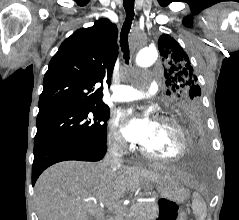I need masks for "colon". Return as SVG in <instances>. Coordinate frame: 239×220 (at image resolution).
<instances>
[{"instance_id": "colon-1", "label": "colon", "mask_w": 239, "mask_h": 220, "mask_svg": "<svg viewBox=\"0 0 239 220\" xmlns=\"http://www.w3.org/2000/svg\"><path fill=\"white\" fill-rule=\"evenodd\" d=\"M196 90L193 88L188 89V94L192 95ZM177 205L166 199H162L159 201V211L160 216L159 220H177L178 214H177Z\"/></svg>"}]
</instances>
